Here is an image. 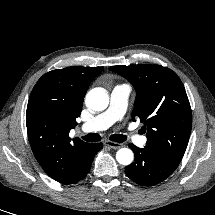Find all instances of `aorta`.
Here are the masks:
<instances>
[{
  "label": "aorta",
  "mask_w": 215,
  "mask_h": 215,
  "mask_svg": "<svg viewBox=\"0 0 215 215\" xmlns=\"http://www.w3.org/2000/svg\"><path fill=\"white\" fill-rule=\"evenodd\" d=\"M109 97L101 88H94L86 95V105L95 111H101L107 108ZM133 152L128 148H121L116 153L117 161L122 165H129L133 161Z\"/></svg>",
  "instance_id": "aorta-1"
}]
</instances>
